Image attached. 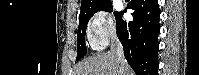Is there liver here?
I'll return each instance as SVG.
<instances>
[{"mask_svg": "<svg viewBox=\"0 0 199 75\" xmlns=\"http://www.w3.org/2000/svg\"><path fill=\"white\" fill-rule=\"evenodd\" d=\"M75 75H134V72L127 63L121 64L114 52L109 51L81 62Z\"/></svg>", "mask_w": 199, "mask_h": 75, "instance_id": "liver-1", "label": "liver"}]
</instances>
